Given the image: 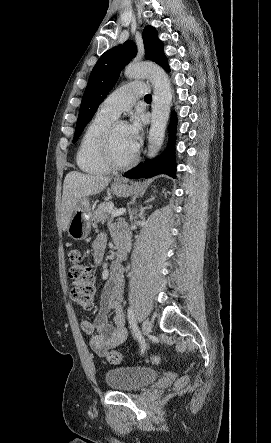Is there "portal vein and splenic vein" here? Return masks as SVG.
<instances>
[{
	"instance_id": "1",
	"label": "portal vein and splenic vein",
	"mask_w": 271,
	"mask_h": 443,
	"mask_svg": "<svg viewBox=\"0 0 271 443\" xmlns=\"http://www.w3.org/2000/svg\"><path fill=\"white\" fill-rule=\"evenodd\" d=\"M125 210H116V212H112V218H115V216H123Z\"/></svg>"
}]
</instances>
